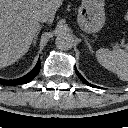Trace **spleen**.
<instances>
[{"label":"spleen","mask_w":128,"mask_h":128,"mask_svg":"<svg viewBox=\"0 0 128 128\" xmlns=\"http://www.w3.org/2000/svg\"><path fill=\"white\" fill-rule=\"evenodd\" d=\"M98 62L123 80L128 81V46L125 50L101 48L96 51Z\"/></svg>","instance_id":"1"}]
</instances>
